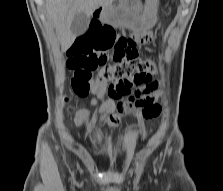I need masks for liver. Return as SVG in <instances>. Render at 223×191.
Listing matches in <instances>:
<instances>
[{
	"label": "liver",
	"mask_w": 223,
	"mask_h": 191,
	"mask_svg": "<svg viewBox=\"0 0 223 191\" xmlns=\"http://www.w3.org/2000/svg\"><path fill=\"white\" fill-rule=\"evenodd\" d=\"M114 0H46L48 18L53 22L63 50L69 48L76 35L71 31V23L77 13L88 17L100 6L110 8Z\"/></svg>",
	"instance_id": "6515ba94"
}]
</instances>
